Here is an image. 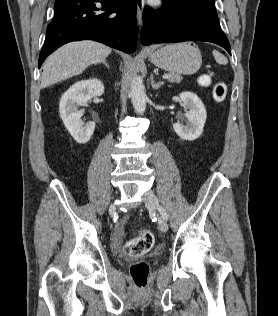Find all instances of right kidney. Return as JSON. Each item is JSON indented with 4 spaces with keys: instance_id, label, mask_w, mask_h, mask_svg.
Wrapping results in <instances>:
<instances>
[{
    "instance_id": "right-kidney-1",
    "label": "right kidney",
    "mask_w": 278,
    "mask_h": 316,
    "mask_svg": "<svg viewBox=\"0 0 278 316\" xmlns=\"http://www.w3.org/2000/svg\"><path fill=\"white\" fill-rule=\"evenodd\" d=\"M104 93V85L99 79H89L76 82L61 97L59 103L60 117L66 129L79 144L87 143L94 133L95 122L90 121L84 127L81 117L83 110L77 106Z\"/></svg>"
}]
</instances>
